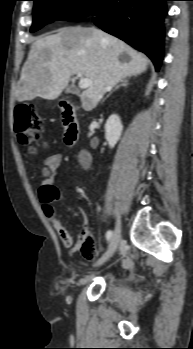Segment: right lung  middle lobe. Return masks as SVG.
<instances>
[{
    "label": "right lung middle lobe",
    "mask_w": 193,
    "mask_h": 349,
    "mask_svg": "<svg viewBox=\"0 0 193 349\" xmlns=\"http://www.w3.org/2000/svg\"><path fill=\"white\" fill-rule=\"evenodd\" d=\"M33 25L35 32L55 20L82 19L94 10L100 0H33Z\"/></svg>",
    "instance_id": "1"
}]
</instances>
